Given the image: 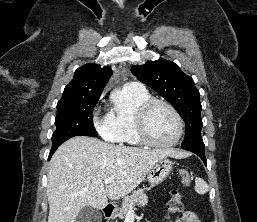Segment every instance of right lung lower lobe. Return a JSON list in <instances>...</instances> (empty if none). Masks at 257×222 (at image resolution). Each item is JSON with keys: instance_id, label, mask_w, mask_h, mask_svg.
Returning <instances> with one entry per match:
<instances>
[{"instance_id": "98d812e1", "label": "right lung lower lobe", "mask_w": 257, "mask_h": 222, "mask_svg": "<svg viewBox=\"0 0 257 222\" xmlns=\"http://www.w3.org/2000/svg\"><path fill=\"white\" fill-rule=\"evenodd\" d=\"M58 147H59V146H55V147H52V148H51V151H50L48 160H50L51 156L53 155V153L56 151V149H57Z\"/></svg>"}]
</instances>
